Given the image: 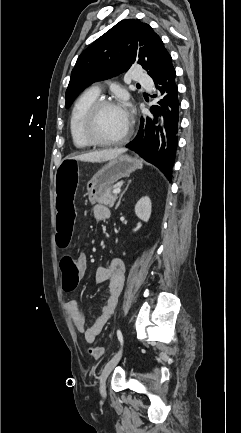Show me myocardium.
I'll list each match as a JSON object with an SVG mask.
<instances>
[{
    "label": "myocardium",
    "instance_id": "myocardium-1",
    "mask_svg": "<svg viewBox=\"0 0 241 433\" xmlns=\"http://www.w3.org/2000/svg\"><path fill=\"white\" fill-rule=\"evenodd\" d=\"M109 106H120L119 103L113 99H98L96 100L89 110L87 111L84 121H83V132L88 141L93 145L98 146H112L118 145L125 142L132 131L131 122L128 120L127 127L124 133L115 139L107 140L99 137L95 131V124L99 113L106 107Z\"/></svg>",
    "mask_w": 241,
    "mask_h": 433
}]
</instances>
